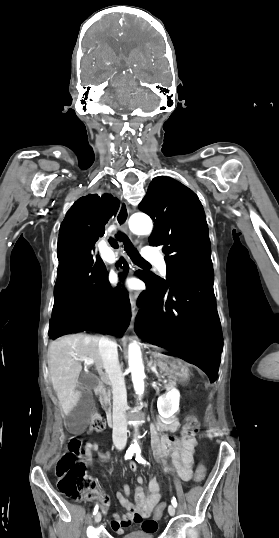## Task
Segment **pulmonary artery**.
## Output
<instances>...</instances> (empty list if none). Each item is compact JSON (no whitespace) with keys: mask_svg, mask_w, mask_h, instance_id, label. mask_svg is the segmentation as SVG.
<instances>
[{"mask_svg":"<svg viewBox=\"0 0 279 538\" xmlns=\"http://www.w3.org/2000/svg\"><path fill=\"white\" fill-rule=\"evenodd\" d=\"M115 259L116 258L114 256H109L106 258V261L110 263V262H113Z\"/></svg>","mask_w":279,"mask_h":538,"instance_id":"pulmonary-artery-1","label":"pulmonary artery"}]
</instances>
